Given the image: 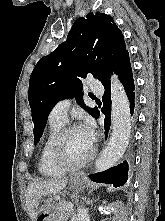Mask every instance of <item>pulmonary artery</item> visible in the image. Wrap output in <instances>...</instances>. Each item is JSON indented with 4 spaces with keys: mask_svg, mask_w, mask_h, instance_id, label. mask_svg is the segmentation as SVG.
Instances as JSON below:
<instances>
[{
    "mask_svg": "<svg viewBox=\"0 0 165 221\" xmlns=\"http://www.w3.org/2000/svg\"><path fill=\"white\" fill-rule=\"evenodd\" d=\"M89 88L95 92H101L102 87L99 83L94 80L89 82ZM71 105V100L69 98H65L59 101L51 110L49 114V120L52 122L65 123L67 121V112Z\"/></svg>",
    "mask_w": 165,
    "mask_h": 221,
    "instance_id": "pulmonary-artery-1",
    "label": "pulmonary artery"
}]
</instances>
